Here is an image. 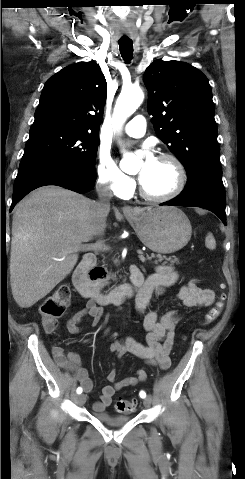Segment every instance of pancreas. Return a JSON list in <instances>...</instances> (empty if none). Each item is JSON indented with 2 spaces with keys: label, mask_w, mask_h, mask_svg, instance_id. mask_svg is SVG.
Returning <instances> with one entry per match:
<instances>
[{
  "label": "pancreas",
  "mask_w": 245,
  "mask_h": 479,
  "mask_svg": "<svg viewBox=\"0 0 245 479\" xmlns=\"http://www.w3.org/2000/svg\"><path fill=\"white\" fill-rule=\"evenodd\" d=\"M156 258L157 259L154 261L155 264H158L159 262H162L164 259H165L164 264H166L167 261H169L171 265H173L175 263L179 264V259L175 256H170V257L166 258V257H163L161 255H156ZM140 259L143 262L146 261V259L144 257H141ZM148 259L151 260V258H148ZM110 279H116V276L114 274L108 273L107 276L102 280L103 284L104 285L108 284V281Z\"/></svg>",
  "instance_id": "pancreas-1"
}]
</instances>
